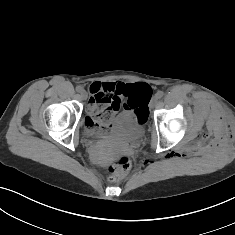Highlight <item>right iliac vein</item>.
<instances>
[{"label":"right iliac vein","instance_id":"right-iliac-vein-1","mask_svg":"<svg viewBox=\"0 0 235 235\" xmlns=\"http://www.w3.org/2000/svg\"><path fill=\"white\" fill-rule=\"evenodd\" d=\"M81 97H82L83 100H86L88 98V94L85 90L81 91Z\"/></svg>","mask_w":235,"mask_h":235}]
</instances>
